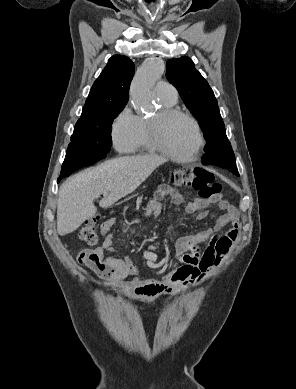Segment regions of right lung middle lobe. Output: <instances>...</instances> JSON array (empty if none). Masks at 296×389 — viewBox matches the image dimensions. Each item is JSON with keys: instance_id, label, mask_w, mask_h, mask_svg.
Segmentation results:
<instances>
[{"instance_id": "right-lung-middle-lobe-1", "label": "right lung middle lobe", "mask_w": 296, "mask_h": 389, "mask_svg": "<svg viewBox=\"0 0 296 389\" xmlns=\"http://www.w3.org/2000/svg\"><path fill=\"white\" fill-rule=\"evenodd\" d=\"M122 109L98 112L77 121L61 173H72L106 157L111 147V125Z\"/></svg>"}]
</instances>
